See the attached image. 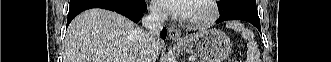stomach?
<instances>
[{"instance_id": "1", "label": "stomach", "mask_w": 331, "mask_h": 62, "mask_svg": "<svg viewBox=\"0 0 331 62\" xmlns=\"http://www.w3.org/2000/svg\"><path fill=\"white\" fill-rule=\"evenodd\" d=\"M181 45L186 52L198 55L203 62H223L232 51L229 37L220 30L192 34Z\"/></svg>"}]
</instances>
